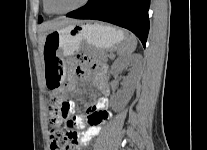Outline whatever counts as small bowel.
<instances>
[{
	"mask_svg": "<svg viewBox=\"0 0 207 150\" xmlns=\"http://www.w3.org/2000/svg\"><path fill=\"white\" fill-rule=\"evenodd\" d=\"M88 64L94 72L95 84L104 95H107L109 87L105 69L97 63L88 61ZM88 74L87 69L83 66H78L75 70V75L78 77H87ZM74 85L75 80L71 77L68 86L73 88ZM61 99L63 98L61 97ZM68 102H70L71 105L66 108L71 119L72 129H85L82 133H78V146H85L100 133L102 125L110 119L111 113L108 111V100L105 97L100 98L87 108V113L85 115L74 114L75 104L70 100H68Z\"/></svg>",
	"mask_w": 207,
	"mask_h": 150,
	"instance_id": "obj_1",
	"label": "small bowel"
}]
</instances>
